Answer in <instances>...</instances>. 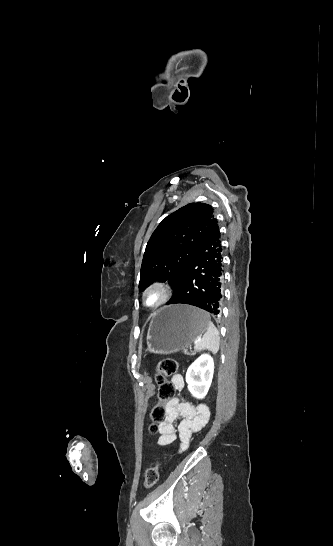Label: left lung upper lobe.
<instances>
[{
	"instance_id": "left-lung-upper-lobe-1",
	"label": "left lung upper lobe",
	"mask_w": 333,
	"mask_h": 546,
	"mask_svg": "<svg viewBox=\"0 0 333 546\" xmlns=\"http://www.w3.org/2000/svg\"><path fill=\"white\" fill-rule=\"evenodd\" d=\"M215 220L213 207L204 203L187 204L163 219L147 243L139 289L159 280L175 290Z\"/></svg>"
}]
</instances>
